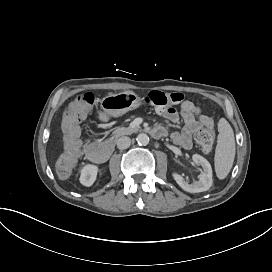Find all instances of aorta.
<instances>
[{"mask_svg":"<svg viewBox=\"0 0 272 272\" xmlns=\"http://www.w3.org/2000/svg\"><path fill=\"white\" fill-rule=\"evenodd\" d=\"M136 141L140 145H146L149 142V137L145 133H139L136 137Z\"/></svg>","mask_w":272,"mask_h":272,"instance_id":"aorta-1","label":"aorta"}]
</instances>
